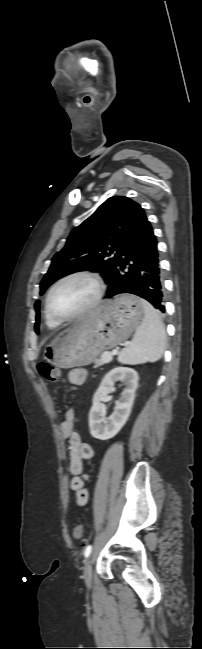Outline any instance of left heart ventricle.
<instances>
[{"label":"left heart ventricle","instance_id":"b2bd125f","mask_svg":"<svg viewBox=\"0 0 202 649\" xmlns=\"http://www.w3.org/2000/svg\"><path fill=\"white\" fill-rule=\"evenodd\" d=\"M95 287L86 278L76 277L60 284L50 299L52 311L60 317H68L85 307L94 297Z\"/></svg>","mask_w":202,"mask_h":649}]
</instances>
